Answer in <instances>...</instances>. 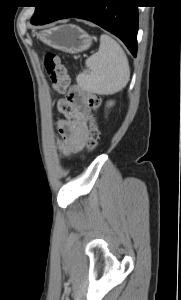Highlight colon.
<instances>
[{
    "mask_svg": "<svg viewBox=\"0 0 181 300\" xmlns=\"http://www.w3.org/2000/svg\"><path fill=\"white\" fill-rule=\"evenodd\" d=\"M45 68L55 92L65 94L67 102L62 104L60 111L65 117H71L74 109L84 103L93 110L85 136L84 147L87 152L95 150L99 144L100 130L95 112L101 104L100 97L93 92L85 91L79 86L72 85L67 67L54 54L45 57Z\"/></svg>",
    "mask_w": 181,
    "mask_h": 300,
    "instance_id": "1",
    "label": "colon"
}]
</instances>
